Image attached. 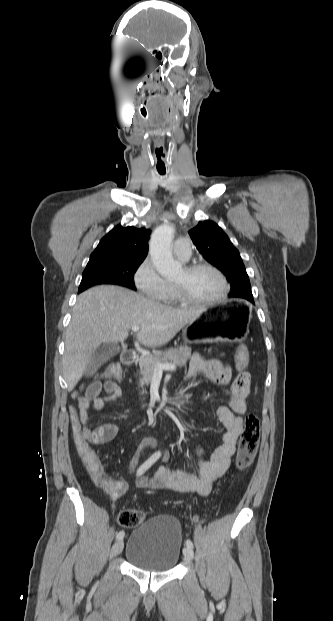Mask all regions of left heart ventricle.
Instances as JSON below:
<instances>
[{
	"instance_id": "1",
	"label": "left heart ventricle",
	"mask_w": 333,
	"mask_h": 621,
	"mask_svg": "<svg viewBox=\"0 0 333 621\" xmlns=\"http://www.w3.org/2000/svg\"><path fill=\"white\" fill-rule=\"evenodd\" d=\"M173 283L182 286L192 298L198 300L215 298L223 289L221 279L210 270L187 273L183 269Z\"/></svg>"
}]
</instances>
